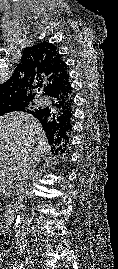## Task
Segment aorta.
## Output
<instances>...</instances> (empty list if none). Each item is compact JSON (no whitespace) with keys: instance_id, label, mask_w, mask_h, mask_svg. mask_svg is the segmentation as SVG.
<instances>
[{"instance_id":"1","label":"aorta","mask_w":118,"mask_h":269,"mask_svg":"<svg viewBox=\"0 0 118 269\" xmlns=\"http://www.w3.org/2000/svg\"><path fill=\"white\" fill-rule=\"evenodd\" d=\"M21 224H22V217L21 215H17L14 221V229L16 232H19L21 229Z\"/></svg>"}]
</instances>
